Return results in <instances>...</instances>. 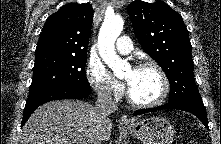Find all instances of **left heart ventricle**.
<instances>
[{"label": "left heart ventricle", "instance_id": "left-heart-ventricle-1", "mask_svg": "<svg viewBox=\"0 0 221 144\" xmlns=\"http://www.w3.org/2000/svg\"><path fill=\"white\" fill-rule=\"evenodd\" d=\"M124 78L129 82V89L133 97L140 102L153 101L161 93L160 76L152 68L129 69Z\"/></svg>", "mask_w": 221, "mask_h": 144}]
</instances>
